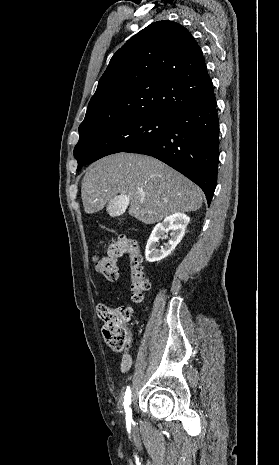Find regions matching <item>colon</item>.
I'll return each mask as SVG.
<instances>
[{
    "mask_svg": "<svg viewBox=\"0 0 279 465\" xmlns=\"http://www.w3.org/2000/svg\"><path fill=\"white\" fill-rule=\"evenodd\" d=\"M123 256L130 259L132 298L140 301L149 290L150 282L144 270L140 249L134 240L124 235L112 238L107 243L106 252L96 255L93 260L96 270L108 280L114 281L119 275L117 262ZM98 315L103 321V335L110 347L118 352L127 350L131 342L127 323L132 317V310L125 306L110 308L99 305Z\"/></svg>",
    "mask_w": 279,
    "mask_h": 465,
    "instance_id": "colon-1",
    "label": "colon"
}]
</instances>
